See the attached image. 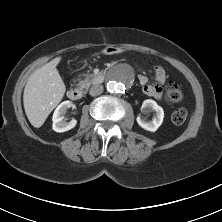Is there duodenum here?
Instances as JSON below:
<instances>
[{"label": "duodenum", "mask_w": 222, "mask_h": 222, "mask_svg": "<svg viewBox=\"0 0 222 222\" xmlns=\"http://www.w3.org/2000/svg\"><path fill=\"white\" fill-rule=\"evenodd\" d=\"M104 78H105L104 74L100 73V74L94 76L93 83L94 84H101V83H103ZM67 96L70 100L78 101V100L82 99L83 91L79 88L72 87L67 91Z\"/></svg>", "instance_id": "410a0bca"}]
</instances>
